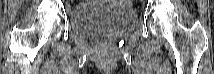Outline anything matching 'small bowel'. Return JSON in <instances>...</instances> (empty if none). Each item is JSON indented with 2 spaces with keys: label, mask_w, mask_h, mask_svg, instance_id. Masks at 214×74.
I'll use <instances>...</instances> for the list:
<instances>
[{
  "label": "small bowel",
  "mask_w": 214,
  "mask_h": 74,
  "mask_svg": "<svg viewBox=\"0 0 214 74\" xmlns=\"http://www.w3.org/2000/svg\"><path fill=\"white\" fill-rule=\"evenodd\" d=\"M123 3L126 4V5H128V2H126V1H124Z\"/></svg>",
  "instance_id": "c3829d8e"
}]
</instances>
